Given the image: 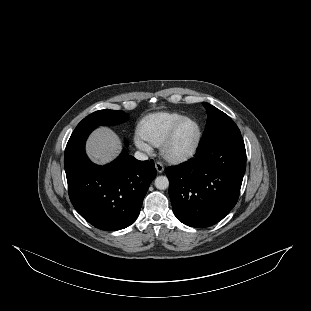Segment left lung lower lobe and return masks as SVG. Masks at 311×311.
<instances>
[{"label":"left lung lower lobe","instance_id":"0a47b994","mask_svg":"<svg viewBox=\"0 0 311 311\" xmlns=\"http://www.w3.org/2000/svg\"><path fill=\"white\" fill-rule=\"evenodd\" d=\"M246 169L241 133L199 146L196 156L168 167L169 195L176 217L191 227H208L235 206Z\"/></svg>","mask_w":311,"mask_h":311}]
</instances>
